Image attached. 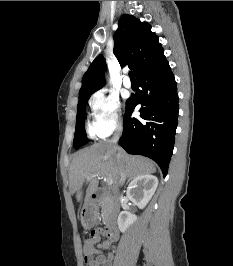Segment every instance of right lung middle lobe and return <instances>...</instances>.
Segmentation results:
<instances>
[{"instance_id": "1", "label": "right lung middle lobe", "mask_w": 233, "mask_h": 266, "mask_svg": "<svg viewBox=\"0 0 233 266\" xmlns=\"http://www.w3.org/2000/svg\"><path fill=\"white\" fill-rule=\"evenodd\" d=\"M89 97L90 96L79 99L78 102L77 121H76V128L73 140V146L75 148H79L80 146L88 142L84 126V117H85L86 104Z\"/></svg>"}]
</instances>
